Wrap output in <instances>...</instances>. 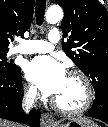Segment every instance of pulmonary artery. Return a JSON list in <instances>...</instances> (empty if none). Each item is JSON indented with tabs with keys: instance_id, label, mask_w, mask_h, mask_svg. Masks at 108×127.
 Wrapping results in <instances>:
<instances>
[{
	"instance_id": "pulmonary-artery-1",
	"label": "pulmonary artery",
	"mask_w": 108,
	"mask_h": 127,
	"mask_svg": "<svg viewBox=\"0 0 108 127\" xmlns=\"http://www.w3.org/2000/svg\"><path fill=\"white\" fill-rule=\"evenodd\" d=\"M49 41L27 40L15 47L14 52L21 54L47 53L54 49V44L60 40V33L52 29L48 34Z\"/></svg>"
}]
</instances>
